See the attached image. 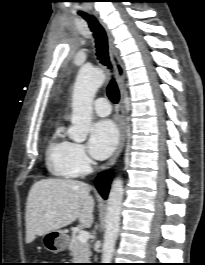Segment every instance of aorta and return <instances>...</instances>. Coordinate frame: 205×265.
I'll return each instance as SVG.
<instances>
[{"instance_id":"762f6f07","label":"aorta","mask_w":205,"mask_h":265,"mask_svg":"<svg viewBox=\"0 0 205 265\" xmlns=\"http://www.w3.org/2000/svg\"><path fill=\"white\" fill-rule=\"evenodd\" d=\"M104 80L105 74L101 69L87 67L80 69L72 94V126L68 130L70 139L76 142L86 140L92 120L93 99ZM123 194V181L117 178L113 181L108 196L102 263H111L113 258L120 230Z\"/></svg>"}]
</instances>
